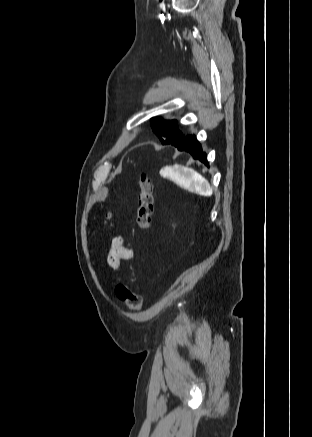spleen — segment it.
Wrapping results in <instances>:
<instances>
[{"label":"spleen","mask_w":312,"mask_h":437,"mask_svg":"<svg viewBox=\"0 0 312 437\" xmlns=\"http://www.w3.org/2000/svg\"><path fill=\"white\" fill-rule=\"evenodd\" d=\"M162 174L165 173L162 172ZM166 175L190 191L206 196L212 194L209 182L193 169L184 168L181 171H168Z\"/></svg>","instance_id":"spleen-1"}]
</instances>
